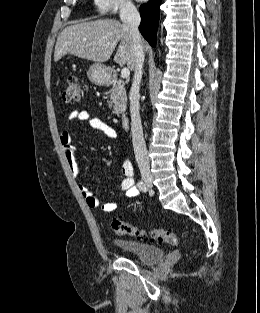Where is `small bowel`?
<instances>
[{
  "label": "small bowel",
  "instance_id": "c3829d8e",
  "mask_svg": "<svg viewBox=\"0 0 260 313\" xmlns=\"http://www.w3.org/2000/svg\"><path fill=\"white\" fill-rule=\"evenodd\" d=\"M70 120H79L82 122H87L92 128L101 131L109 138H116V131L103 120L92 116L86 110H73L69 113ZM60 143L62 146V151L66 160V163L75 177L80 174L79 166L75 157V150L71 144V134L69 131L64 130L60 135ZM122 169V181L120 184L121 192L128 196L134 197L138 194L136 187L134 186V170L131 162L127 159H123L121 163ZM78 190L82 197L84 198L86 204L90 208H100L105 213H110L114 211L117 207L116 202L111 201L107 203H101L100 200L89 190V188L83 184H78Z\"/></svg>",
  "mask_w": 260,
  "mask_h": 313
}]
</instances>
